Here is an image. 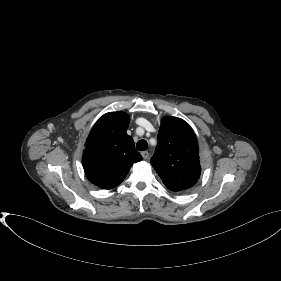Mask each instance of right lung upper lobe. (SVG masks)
<instances>
[{
    "instance_id": "1",
    "label": "right lung upper lobe",
    "mask_w": 281,
    "mask_h": 281,
    "mask_svg": "<svg viewBox=\"0 0 281 281\" xmlns=\"http://www.w3.org/2000/svg\"><path fill=\"white\" fill-rule=\"evenodd\" d=\"M129 115L124 112L104 114L93 126L82 157L89 181L102 189L118 186L131 166L142 160L127 135Z\"/></svg>"
}]
</instances>
